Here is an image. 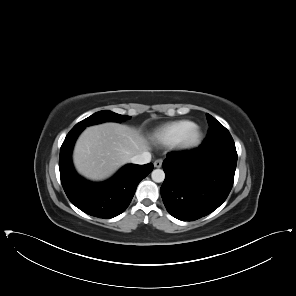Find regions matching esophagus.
I'll list each match as a JSON object with an SVG mask.
<instances>
[{"mask_svg": "<svg viewBox=\"0 0 296 296\" xmlns=\"http://www.w3.org/2000/svg\"><path fill=\"white\" fill-rule=\"evenodd\" d=\"M163 160L162 159H157L154 161V167L160 168L162 166Z\"/></svg>", "mask_w": 296, "mask_h": 296, "instance_id": "34e87169", "label": "esophagus"}]
</instances>
